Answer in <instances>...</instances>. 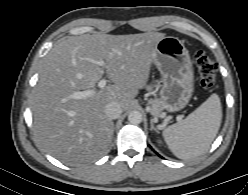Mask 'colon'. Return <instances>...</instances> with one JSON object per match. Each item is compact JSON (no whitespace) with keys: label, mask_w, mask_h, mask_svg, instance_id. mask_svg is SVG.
<instances>
[{"label":"colon","mask_w":248,"mask_h":195,"mask_svg":"<svg viewBox=\"0 0 248 195\" xmlns=\"http://www.w3.org/2000/svg\"><path fill=\"white\" fill-rule=\"evenodd\" d=\"M194 61L200 78L201 86L210 89L214 86L217 76L215 62L205 52L197 50L194 53Z\"/></svg>","instance_id":"5ec220e1"}]
</instances>
